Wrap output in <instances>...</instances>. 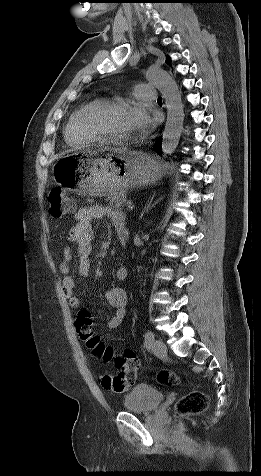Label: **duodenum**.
I'll return each instance as SVG.
<instances>
[{
  "mask_svg": "<svg viewBox=\"0 0 261 476\" xmlns=\"http://www.w3.org/2000/svg\"><path fill=\"white\" fill-rule=\"evenodd\" d=\"M118 235H119V238L121 239V241H122L123 243H125V241H126V233H125V231H123V230L119 231V232H118Z\"/></svg>",
  "mask_w": 261,
  "mask_h": 476,
  "instance_id": "410a0bca",
  "label": "duodenum"
}]
</instances>
